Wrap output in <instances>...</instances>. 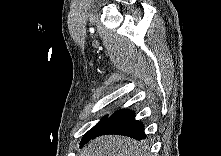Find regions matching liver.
Instances as JSON below:
<instances>
[{
    "label": "liver",
    "instance_id": "6515ba94",
    "mask_svg": "<svg viewBox=\"0 0 221 156\" xmlns=\"http://www.w3.org/2000/svg\"><path fill=\"white\" fill-rule=\"evenodd\" d=\"M80 156H147V147L129 137L107 135L91 141Z\"/></svg>",
    "mask_w": 221,
    "mask_h": 156
}]
</instances>
